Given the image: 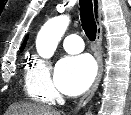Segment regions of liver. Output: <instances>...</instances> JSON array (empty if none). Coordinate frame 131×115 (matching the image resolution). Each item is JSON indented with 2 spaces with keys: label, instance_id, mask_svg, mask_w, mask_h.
<instances>
[{
  "label": "liver",
  "instance_id": "6515ba94",
  "mask_svg": "<svg viewBox=\"0 0 131 115\" xmlns=\"http://www.w3.org/2000/svg\"><path fill=\"white\" fill-rule=\"evenodd\" d=\"M6 115H59L50 107L36 104H14L10 106Z\"/></svg>",
  "mask_w": 131,
  "mask_h": 115
}]
</instances>
